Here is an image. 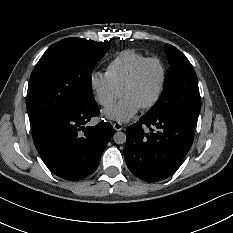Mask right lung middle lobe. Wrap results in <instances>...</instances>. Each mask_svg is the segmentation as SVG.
<instances>
[{
    "label": "right lung middle lobe",
    "instance_id": "right-lung-middle-lobe-1",
    "mask_svg": "<svg viewBox=\"0 0 233 233\" xmlns=\"http://www.w3.org/2000/svg\"><path fill=\"white\" fill-rule=\"evenodd\" d=\"M109 49L107 42L66 38L51 45L30 77L27 111L32 123L63 116L83 100H94L91 74Z\"/></svg>",
    "mask_w": 233,
    "mask_h": 233
}]
</instances>
